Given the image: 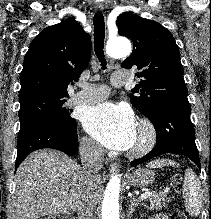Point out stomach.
Wrapping results in <instances>:
<instances>
[{"mask_svg": "<svg viewBox=\"0 0 211 219\" xmlns=\"http://www.w3.org/2000/svg\"><path fill=\"white\" fill-rule=\"evenodd\" d=\"M155 180V174L149 169H136L128 176V183L134 187H146Z\"/></svg>", "mask_w": 211, "mask_h": 219, "instance_id": "obj_1", "label": "stomach"}]
</instances>
